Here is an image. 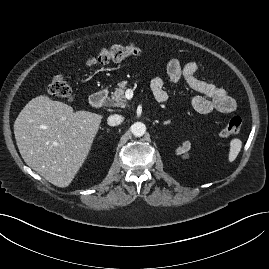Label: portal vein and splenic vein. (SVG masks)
<instances>
[{
    "mask_svg": "<svg viewBox=\"0 0 269 269\" xmlns=\"http://www.w3.org/2000/svg\"><path fill=\"white\" fill-rule=\"evenodd\" d=\"M130 94H131V91L130 90H127L126 91V97L128 98Z\"/></svg>",
    "mask_w": 269,
    "mask_h": 269,
    "instance_id": "portal-vein-and-splenic-vein-1",
    "label": "portal vein and splenic vein"
}]
</instances>
